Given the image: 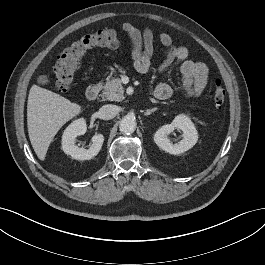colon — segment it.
Listing matches in <instances>:
<instances>
[{
    "mask_svg": "<svg viewBox=\"0 0 265 265\" xmlns=\"http://www.w3.org/2000/svg\"><path fill=\"white\" fill-rule=\"evenodd\" d=\"M120 44L118 34L113 30H99L86 34L65 48L53 67V78L57 89L66 92L70 89L85 53L93 48H114ZM226 91L221 81L213 87V101L216 106L225 102Z\"/></svg>",
    "mask_w": 265,
    "mask_h": 265,
    "instance_id": "5ec220e1",
    "label": "colon"
}]
</instances>
